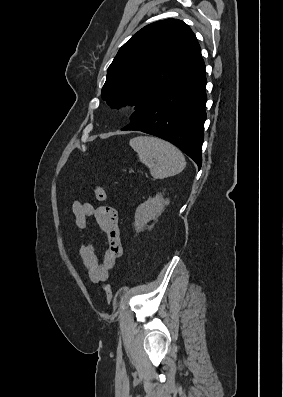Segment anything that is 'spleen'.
Returning a JSON list of instances; mask_svg holds the SVG:
<instances>
[{
    "label": "spleen",
    "instance_id": "spleen-1",
    "mask_svg": "<svg viewBox=\"0 0 283 397\" xmlns=\"http://www.w3.org/2000/svg\"><path fill=\"white\" fill-rule=\"evenodd\" d=\"M130 146L154 179H164L180 173L186 166L182 152L173 144L152 136H138L130 140Z\"/></svg>",
    "mask_w": 283,
    "mask_h": 397
}]
</instances>
